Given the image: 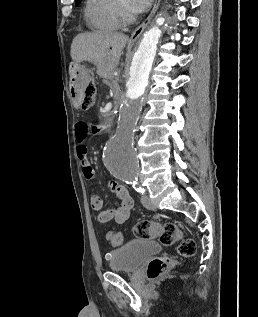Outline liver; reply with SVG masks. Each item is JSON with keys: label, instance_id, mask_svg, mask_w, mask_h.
Returning <instances> with one entry per match:
<instances>
[{"label": "liver", "instance_id": "6515ba94", "mask_svg": "<svg viewBox=\"0 0 258 317\" xmlns=\"http://www.w3.org/2000/svg\"><path fill=\"white\" fill-rule=\"evenodd\" d=\"M127 40L126 34L115 30L80 32L71 44L73 62L89 60L96 64L98 72H110L117 66Z\"/></svg>", "mask_w": 258, "mask_h": 317}]
</instances>
